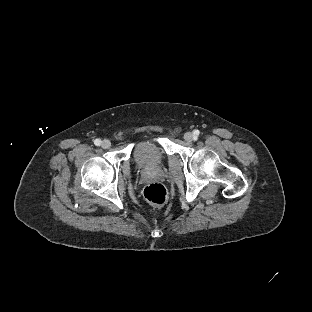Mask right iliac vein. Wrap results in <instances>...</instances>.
Instances as JSON below:
<instances>
[{"instance_id":"right-iliac-vein-1","label":"right iliac vein","mask_w":312,"mask_h":312,"mask_svg":"<svg viewBox=\"0 0 312 312\" xmlns=\"http://www.w3.org/2000/svg\"><path fill=\"white\" fill-rule=\"evenodd\" d=\"M101 146L105 149L109 148L111 146V142L107 139H105L104 141H102Z\"/></svg>"}]
</instances>
